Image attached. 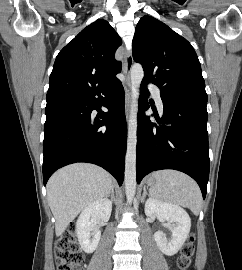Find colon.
<instances>
[{"label":"colon","instance_id":"obj_1","mask_svg":"<svg viewBox=\"0 0 242 270\" xmlns=\"http://www.w3.org/2000/svg\"><path fill=\"white\" fill-rule=\"evenodd\" d=\"M194 241V235H189L187 242L181 249V255L178 258L180 270H187L191 265L194 254ZM82 261L83 255L76 243V228L72 225L63 232L56 243L57 270H77Z\"/></svg>","mask_w":242,"mask_h":270}]
</instances>
